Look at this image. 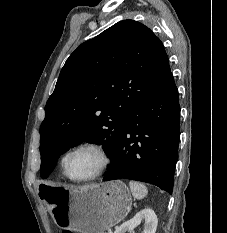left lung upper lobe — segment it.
Returning <instances> with one entry per match:
<instances>
[{
    "mask_svg": "<svg viewBox=\"0 0 227 233\" xmlns=\"http://www.w3.org/2000/svg\"><path fill=\"white\" fill-rule=\"evenodd\" d=\"M159 38L123 20L81 44L66 60L40 127V173L47 178L61 154L83 141L103 144L113 160L132 109L170 75Z\"/></svg>",
    "mask_w": 227,
    "mask_h": 233,
    "instance_id": "5c2ea615",
    "label": "left lung upper lobe"
}]
</instances>
